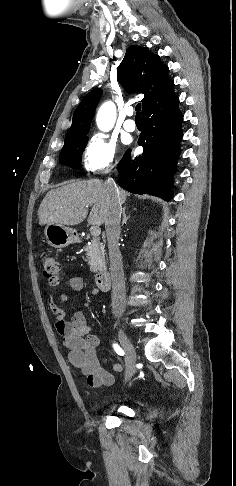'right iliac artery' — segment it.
<instances>
[{
  "mask_svg": "<svg viewBox=\"0 0 236 486\" xmlns=\"http://www.w3.org/2000/svg\"><path fill=\"white\" fill-rule=\"evenodd\" d=\"M113 348L115 350V352L121 356L124 355V351L122 350V348L118 345V344H113Z\"/></svg>",
  "mask_w": 236,
  "mask_h": 486,
  "instance_id": "1",
  "label": "right iliac artery"
}]
</instances>
